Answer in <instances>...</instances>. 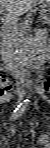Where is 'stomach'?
Instances as JSON below:
<instances>
[{"label":"stomach","instance_id":"stomach-1","mask_svg":"<svg viewBox=\"0 0 50 148\" xmlns=\"http://www.w3.org/2000/svg\"><path fill=\"white\" fill-rule=\"evenodd\" d=\"M50 13V2H44V9L42 10V17L48 16Z\"/></svg>","mask_w":50,"mask_h":148}]
</instances>
